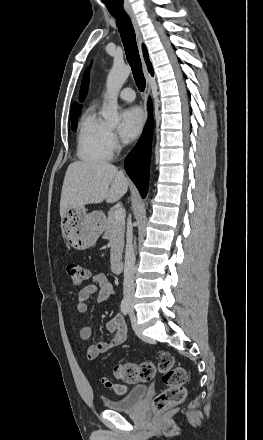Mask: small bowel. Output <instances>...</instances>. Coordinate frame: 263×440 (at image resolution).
<instances>
[{"mask_svg": "<svg viewBox=\"0 0 263 440\" xmlns=\"http://www.w3.org/2000/svg\"><path fill=\"white\" fill-rule=\"evenodd\" d=\"M93 295H97L100 302L108 301L114 296L112 283L105 274H94L91 277V283L84 286L78 292L76 308L79 313H86L88 311L87 301ZM106 330L112 335L111 339L98 341L85 348V355L89 360H96L100 354L108 352L125 341L127 330L123 316L120 313L112 316L106 323ZM79 336L82 341L89 340L92 336L91 327H81Z\"/></svg>", "mask_w": 263, "mask_h": 440, "instance_id": "small-bowel-1", "label": "small bowel"}]
</instances>
